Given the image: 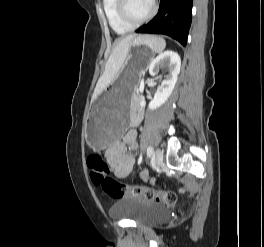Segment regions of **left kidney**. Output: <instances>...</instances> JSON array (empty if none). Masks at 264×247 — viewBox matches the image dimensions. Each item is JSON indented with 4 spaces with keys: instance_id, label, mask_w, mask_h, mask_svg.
<instances>
[{
    "instance_id": "1",
    "label": "left kidney",
    "mask_w": 264,
    "mask_h": 247,
    "mask_svg": "<svg viewBox=\"0 0 264 247\" xmlns=\"http://www.w3.org/2000/svg\"><path fill=\"white\" fill-rule=\"evenodd\" d=\"M180 67V56L174 51H164L152 60L149 66V73L151 76H155L159 72L160 68H166L168 75L158 87L153 100H151L149 103L150 110L159 108L170 97L177 82V77L180 73Z\"/></svg>"
}]
</instances>
